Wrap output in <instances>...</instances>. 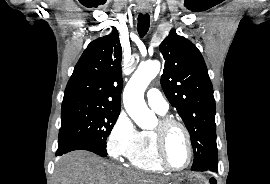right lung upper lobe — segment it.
Returning a JSON list of instances; mask_svg holds the SVG:
<instances>
[{
  "label": "right lung upper lobe",
  "mask_w": 270,
  "mask_h": 184,
  "mask_svg": "<svg viewBox=\"0 0 270 184\" xmlns=\"http://www.w3.org/2000/svg\"><path fill=\"white\" fill-rule=\"evenodd\" d=\"M121 61L122 47L115 30L92 41L74 68L63 100H86L120 110Z\"/></svg>",
  "instance_id": "1"
}]
</instances>
